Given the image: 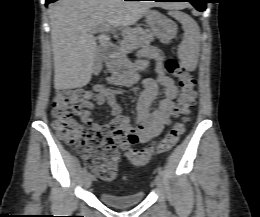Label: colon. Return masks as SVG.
<instances>
[{
    "label": "colon",
    "instance_id": "obj_1",
    "mask_svg": "<svg viewBox=\"0 0 260 217\" xmlns=\"http://www.w3.org/2000/svg\"><path fill=\"white\" fill-rule=\"evenodd\" d=\"M166 71L179 79L180 93L175 112L184 116L158 143L144 150H137L127 141H117L101 129L83 125L76 119L75 110L96 100L93 92L84 89L59 90L52 102L53 129L57 136L78 152L84 164L103 180H113L116 175L118 155L136 167L145 165L155 155L168 151L185 131L187 115L195 105V78L175 58L165 63ZM73 110V112L71 111Z\"/></svg>",
    "mask_w": 260,
    "mask_h": 217
}]
</instances>
